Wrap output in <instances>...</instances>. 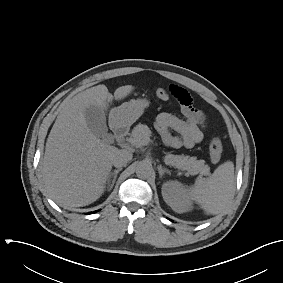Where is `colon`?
Masks as SVG:
<instances>
[{"label": "colon", "mask_w": 283, "mask_h": 283, "mask_svg": "<svg viewBox=\"0 0 283 283\" xmlns=\"http://www.w3.org/2000/svg\"><path fill=\"white\" fill-rule=\"evenodd\" d=\"M154 93L157 98L166 100L169 97V93L164 88H156ZM223 146L219 137H213L209 144L210 159L213 163H218L222 157Z\"/></svg>", "instance_id": "1"}]
</instances>
